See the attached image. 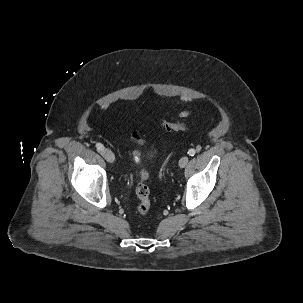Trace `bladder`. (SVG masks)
Wrapping results in <instances>:
<instances>
[{"label":"bladder","instance_id":"obj_1","mask_svg":"<svg viewBox=\"0 0 303 303\" xmlns=\"http://www.w3.org/2000/svg\"><path fill=\"white\" fill-rule=\"evenodd\" d=\"M136 155H137V156H139V153H138V152H136Z\"/></svg>","mask_w":303,"mask_h":303}]
</instances>
